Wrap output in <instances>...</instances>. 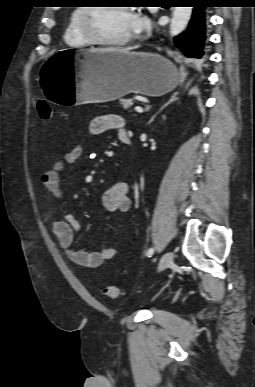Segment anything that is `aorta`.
<instances>
[{
	"mask_svg": "<svg viewBox=\"0 0 255 387\" xmlns=\"http://www.w3.org/2000/svg\"><path fill=\"white\" fill-rule=\"evenodd\" d=\"M192 14V7H175L170 23V34H180L188 24Z\"/></svg>",
	"mask_w": 255,
	"mask_h": 387,
	"instance_id": "aorta-1",
	"label": "aorta"
}]
</instances>
